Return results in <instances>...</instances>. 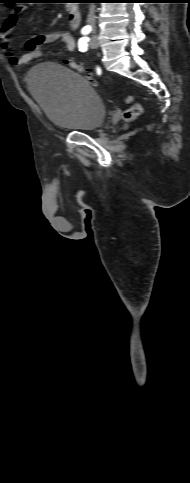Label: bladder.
Wrapping results in <instances>:
<instances>
[{
  "label": "bladder",
  "mask_w": 190,
  "mask_h": 483,
  "mask_svg": "<svg viewBox=\"0 0 190 483\" xmlns=\"http://www.w3.org/2000/svg\"><path fill=\"white\" fill-rule=\"evenodd\" d=\"M28 89L45 116L72 131H92L106 117L103 100L84 77L55 62L34 67L27 76Z\"/></svg>",
  "instance_id": "bladder-1"
}]
</instances>
